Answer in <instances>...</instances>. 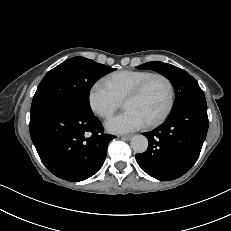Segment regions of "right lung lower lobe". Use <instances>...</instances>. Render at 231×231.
Here are the masks:
<instances>
[{
	"instance_id": "obj_1",
	"label": "right lung lower lobe",
	"mask_w": 231,
	"mask_h": 231,
	"mask_svg": "<svg viewBox=\"0 0 231 231\" xmlns=\"http://www.w3.org/2000/svg\"><path fill=\"white\" fill-rule=\"evenodd\" d=\"M30 135L47 169L55 176L78 182L103 165L109 142L100 120L73 104L63 103L30 121Z\"/></svg>"
}]
</instances>
